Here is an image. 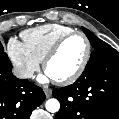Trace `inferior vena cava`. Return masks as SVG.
Returning a JSON list of instances; mask_svg holds the SVG:
<instances>
[{"instance_id": "602c4592", "label": "inferior vena cava", "mask_w": 119, "mask_h": 119, "mask_svg": "<svg viewBox=\"0 0 119 119\" xmlns=\"http://www.w3.org/2000/svg\"><path fill=\"white\" fill-rule=\"evenodd\" d=\"M13 74L20 79L31 78L33 76V71L28 69L14 68Z\"/></svg>"}]
</instances>
